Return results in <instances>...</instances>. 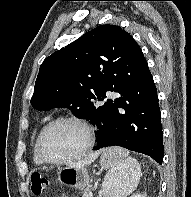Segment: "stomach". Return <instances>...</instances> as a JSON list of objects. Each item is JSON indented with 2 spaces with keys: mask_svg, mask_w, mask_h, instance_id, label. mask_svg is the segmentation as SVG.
<instances>
[{
  "mask_svg": "<svg viewBox=\"0 0 191 197\" xmlns=\"http://www.w3.org/2000/svg\"><path fill=\"white\" fill-rule=\"evenodd\" d=\"M118 162V157L109 151V149L104 150L100 158V164L103 168L108 169ZM58 179L61 184L69 186L71 188H76L78 190H83L89 184V175L85 167L75 168V167H64L58 172Z\"/></svg>",
  "mask_w": 191,
  "mask_h": 197,
  "instance_id": "stomach-1",
  "label": "stomach"
}]
</instances>
